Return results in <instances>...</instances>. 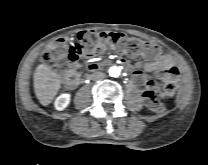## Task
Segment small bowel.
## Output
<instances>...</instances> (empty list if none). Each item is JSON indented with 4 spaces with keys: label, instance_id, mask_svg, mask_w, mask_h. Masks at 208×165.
Instances as JSON below:
<instances>
[{
    "label": "small bowel",
    "instance_id": "1",
    "mask_svg": "<svg viewBox=\"0 0 208 165\" xmlns=\"http://www.w3.org/2000/svg\"><path fill=\"white\" fill-rule=\"evenodd\" d=\"M149 62L144 64V69L148 72H153L155 75L163 81H175L179 75V68L173 63L172 58L169 55L163 54L157 57L143 55ZM124 65H127L126 61H122ZM81 65L77 61H68L65 69L61 73V77L69 88L74 89L78 85L79 70ZM133 77L137 82L142 83L143 86V98L146 104L154 109L152 102L156 98V92L153 88V81L146 80L145 74L141 70H137L133 73ZM155 110V109H154Z\"/></svg>",
    "mask_w": 208,
    "mask_h": 165
}]
</instances>
